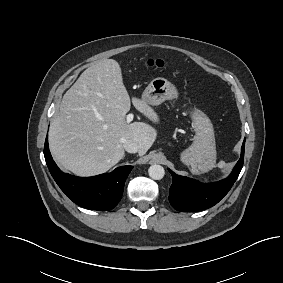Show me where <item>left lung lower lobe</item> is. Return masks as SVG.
Returning a JSON list of instances; mask_svg holds the SVG:
<instances>
[{"label":"left lung lower lobe","instance_id":"0a47b994","mask_svg":"<svg viewBox=\"0 0 283 283\" xmlns=\"http://www.w3.org/2000/svg\"><path fill=\"white\" fill-rule=\"evenodd\" d=\"M244 146L241 149V157L235 165L232 173L219 182L202 184L194 179L179 176L173 173V183L169 190V201L178 211L194 212L210 208L217 204L231 189L238 178L244 162Z\"/></svg>","mask_w":283,"mask_h":283}]
</instances>
